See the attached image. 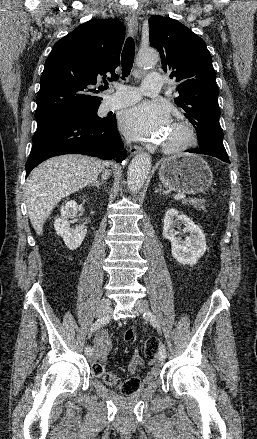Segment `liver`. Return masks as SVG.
<instances>
[{
    "instance_id": "liver-1",
    "label": "liver",
    "mask_w": 257,
    "mask_h": 439,
    "mask_svg": "<svg viewBox=\"0 0 257 439\" xmlns=\"http://www.w3.org/2000/svg\"><path fill=\"white\" fill-rule=\"evenodd\" d=\"M108 163L78 154L53 157L30 174L25 192L28 215L38 235L46 219L66 196L94 183Z\"/></svg>"
}]
</instances>
